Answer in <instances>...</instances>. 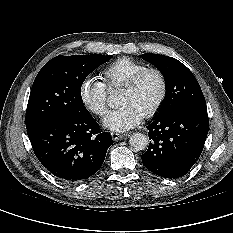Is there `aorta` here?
Returning <instances> with one entry per match:
<instances>
[{"label": "aorta", "mask_w": 233, "mask_h": 233, "mask_svg": "<svg viewBox=\"0 0 233 233\" xmlns=\"http://www.w3.org/2000/svg\"><path fill=\"white\" fill-rule=\"evenodd\" d=\"M112 98V97H110ZM148 138L143 133H134L129 139V144L131 148L135 151L145 150L148 146Z\"/></svg>", "instance_id": "aorta-1"}]
</instances>
